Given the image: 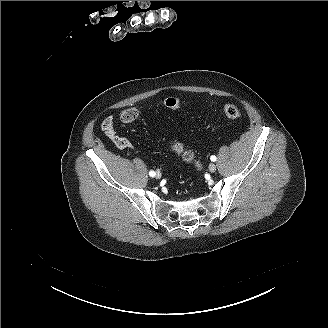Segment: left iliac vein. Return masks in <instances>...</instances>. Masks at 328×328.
<instances>
[{
    "instance_id": "4c4485c4",
    "label": "left iliac vein",
    "mask_w": 328,
    "mask_h": 328,
    "mask_svg": "<svg viewBox=\"0 0 328 328\" xmlns=\"http://www.w3.org/2000/svg\"><path fill=\"white\" fill-rule=\"evenodd\" d=\"M209 170H210V172H215V171H216V165L213 164V163H211V164L209 165Z\"/></svg>"
}]
</instances>
